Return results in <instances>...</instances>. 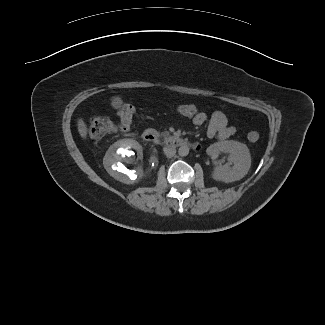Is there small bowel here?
Segmentation results:
<instances>
[{"label": "small bowel", "mask_w": 325, "mask_h": 325, "mask_svg": "<svg viewBox=\"0 0 325 325\" xmlns=\"http://www.w3.org/2000/svg\"><path fill=\"white\" fill-rule=\"evenodd\" d=\"M191 119L196 126H201L208 121L207 136L209 138L225 140L236 133V128L229 125L226 115L218 110L214 111L209 117L206 113L202 112L200 118Z\"/></svg>", "instance_id": "1"}]
</instances>
